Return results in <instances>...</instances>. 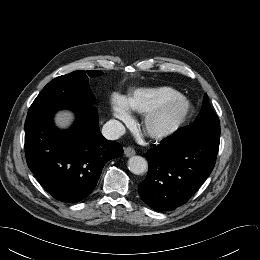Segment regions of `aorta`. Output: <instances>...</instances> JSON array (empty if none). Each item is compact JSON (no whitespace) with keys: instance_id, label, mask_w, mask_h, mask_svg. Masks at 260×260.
Masks as SVG:
<instances>
[{"instance_id":"obj_1","label":"aorta","mask_w":260,"mask_h":260,"mask_svg":"<svg viewBox=\"0 0 260 260\" xmlns=\"http://www.w3.org/2000/svg\"><path fill=\"white\" fill-rule=\"evenodd\" d=\"M128 169L136 175L145 173L148 169V163L145 158L141 156H132L128 160Z\"/></svg>"}]
</instances>
